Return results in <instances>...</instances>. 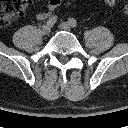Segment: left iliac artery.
Returning <instances> with one entry per match:
<instances>
[{
    "mask_svg": "<svg viewBox=\"0 0 128 128\" xmlns=\"http://www.w3.org/2000/svg\"><path fill=\"white\" fill-rule=\"evenodd\" d=\"M68 23L71 25V27H77V21L74 18H69Z\"/></svg>",
    "mask_w": 128,
    "mask_h": 128,
    "instance_id": "44dca946",
    "label": "left iliac artery"
}]
</instances>
